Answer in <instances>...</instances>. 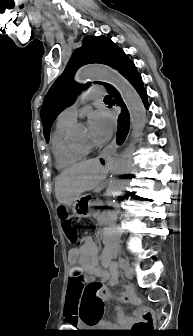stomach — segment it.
I'll return each mask as SVG.
<instances>
[{"mask_svg":"<svg viewBox=\"0 0 193 336\" xmlns=\"http://www.w3.org/2000/svg\"><path fill=\"white\" fill-rule=\"evenodd\" d=\"M105 162L102 161V164ZM90 201L87 199L86 195L75 198L72 202V209L74 213L80 217H88L90 215L89 211Z\"/></svg>","mask_w":193,"mask_h":336,"instance_id":"0dacf381","label":"stomach"}]
</instances>
